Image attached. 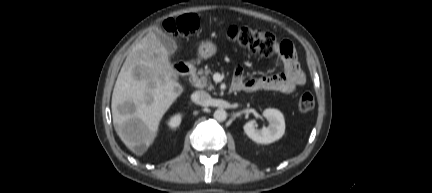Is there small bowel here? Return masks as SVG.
<instances>
[{
	"label": "small bowel",
	"instance_id": "obj_1",
	"mask_svg": "<svg viewBox=\"0 0 432 193\" xmlns=\"http://www.w3.org/2000/svg\"><path fill=\"white\" fill-rule=\"evenodd\" d=\"M281 43L289 45L290 48L288 54L277 52L279 61L284 67V71L278 74L245 80L243 76V68L238 65L235 68L234 84L239 87V90H268L288 95L292 94L297 87L306 83V75L297 61L292 44L288 41H282Z\"/></svg>",
	"mask_w": 432,
	"mask_h": 193
}]
</instances>
